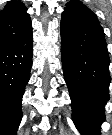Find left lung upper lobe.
I'll list each match as a JSON object with an SVG mask.
<instances>
[{"label":"left lung upper lobe","instance_id":"1","mask_svg":"<svg viewBox=\"0 0 112 135\" xmlns=\"http://www.w3.org/2000/svg\"><path fill=\"white\" fill-rule=\"evenodd\" d=\"M62 17L77 22L100 25L97 16L85 4L77 0L65 4Z\"/></svg>","mask_w":112,"mask_h":135}]
</instances>
